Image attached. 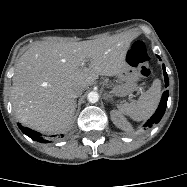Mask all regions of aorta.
Instances as JSON below:
<instances>
[{"mask_svg":"<svg viewBox=\"0 0 187 187\" xmlns=\"http://www.w3.org/2000/svg\"><path fill=\"white\" fill-rule=\"evenodd\" d=\"M87 98H88V101H89L90 103H96V102H98V100H99V94H98L97 92H95V91H91V92L88 94Z\"/></svg>","mask_w":187,"mask_h":187,"instance_id":"1","label":"aorta"}]
</instances>
